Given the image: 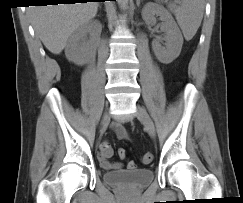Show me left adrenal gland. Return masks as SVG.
<instances>
[{
	"instance_id": "left-adrenal-gland-1",
	"label": "left adrenal gland",
	"mask_w": 243,
	"mask_h": 203,
	"mask_svg": "<svg viewBox=\"0 0 243 203\" xmlns=\"http://www.w3.org/2000/svg\"><path fill=\"white\" fill-rule=\"evenodd\" d=\"M140 1L141 0H136V5L139 7L140 6Z\"/></svg>"
}]
</instances>
